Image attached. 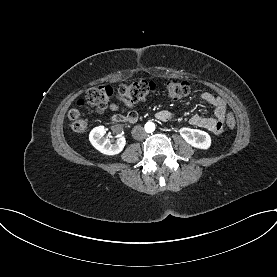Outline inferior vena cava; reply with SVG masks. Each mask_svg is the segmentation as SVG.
Here are the masks:
<instances>
[{"instance_id": "inferior-vena-cava-1", "label": "inferior vena cava", "mask_w": 277, "mask_h": 277, "mask_svg": "<svg viewBox=\"0 0 277 277\" xmlns=\"http://www.w3.org/2000/svg\"><path fill=\"white\" fill-rule=\"evenodd\" d=\"M146 136H147V133L141 125H137L132 129V137L134 139L142 140V139H145Z\"/></svg>"}]
</instances>
